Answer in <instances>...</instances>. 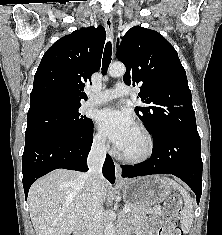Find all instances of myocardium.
I'll list each match as a JSON object with an SVG mask.
<instances>
[{"label":"myocardium","instance_id":"obj_1","mask_svg":"<svg viewBox=\"0 0 222 235\" xmlns=\"http://www.w3.org/2000/svg\"><path fill=\"white\" fill-rule=\"evenodd\" d=\"M135 128L141 132V134L145 137L147 141V149L146 151L138 156L126 155L123 153H119V158L127 163L131 164H139L149 160L154 152H155V139L152 133L142 124H136Z\"/></svg>","mask_w":222,"mask_h":235}]
</instances>
